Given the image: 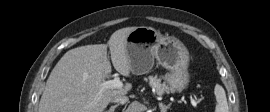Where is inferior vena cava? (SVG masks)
Segmentation results:
<instances>
[{"instance_id": "602c4592", "label": "inferior vena cava", "mask_w": 270, "mask_h": 112, "mask_svg": "<svg viewBox=\"0 0 270 112\" xmlns=\"http://www.w3.org/2000/svg\"><path fill=\"white\" fill-rule=\"evenodd\" d=\"M128 100H129V98L125 95H117L111 99V102L125 104L128 102Z\"/></svg>"}]
</instances>
